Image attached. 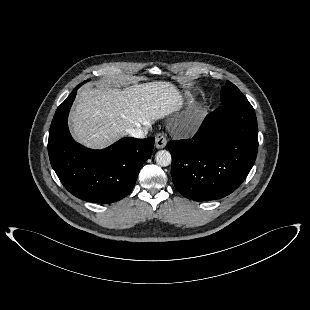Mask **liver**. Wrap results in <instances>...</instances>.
I'll return each instance as SVG.
<instances>
[{"label":"liver","mask_w":310,"mask_h":310,"mask_svg":"<svg viewBox=\"0 0 310 310\" xmlns=\"http://www.w3.org/2000/svg\"><path fill=\"white\" fill-rule=\"evenodd\" d=\"M183 97L171 82L154 81L119 89L89 86L77 95L70 115L74 138L86 147L101 149L181 109Z\"/></svg>","instance_id":"obj_1"}]
</instances>
